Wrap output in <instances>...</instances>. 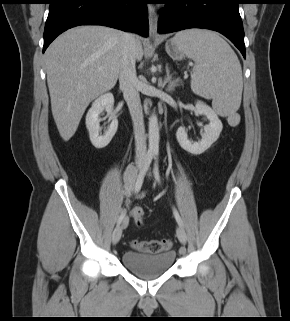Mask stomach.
Returning a JSON list of instances; mask_svg holds the SVG:
<instances>
[{
    "mask_svg": "<svg viewBox=\"0 0 290 321\" xmlns=\"http://www.w3.org/2000/svg\"><path fill=\"white\" fill-rule=\"evenodd\" d=\"M165 49L167 54L174 60H183L188 55L186 52L171 39L166 42Z\"/></svg>",
    "mask_w": 290,
    "mask_h": 321,
    "instance_id": "1",
    "label": "stomach"
}]
</instances>
